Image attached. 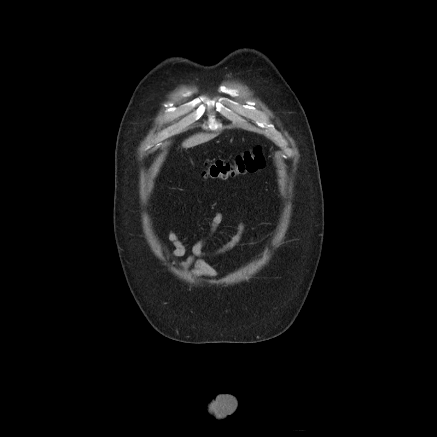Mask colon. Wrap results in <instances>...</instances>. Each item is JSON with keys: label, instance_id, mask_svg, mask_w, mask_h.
<instances>
[{"label": "colon", "instance_id": "1", "mask_svg": "<svg viewBox=\"0 0 437 437\" xmlns=\"http://www.w3.org/2000/svg\"><path fill=\"white\" fill-rule=\"evenodd\" d=\"M266 159L260 147L247 151L233 160H217L206 164L202 176L214 179H227L248 172H255L265 166Z\"/></svg>", "mask_w": 437, "mask_h": 437}]
</instances>
